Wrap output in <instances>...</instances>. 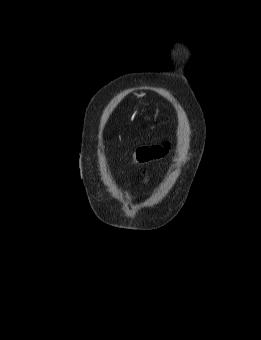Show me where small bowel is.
<instances>
[{
  "mask_svg": "<svg viewBox=\"0 0 261 340\" xmlns=\"http://www.w3.org/2000/svg\"><path fill=\"white\" fill-rule=\"evenodd\" d=\"M169 149L170 144L168 142H164L163 144L159 145L138 147L130 154L129 163L135 166H141L148 162L164 157L169 152ZM145 178L146 175H144V180Z\"/></svg>",
  "mask_w": 261,
  "mask_h": 340,
  "instance_id": "c3829d8e",
  "label": "small bowel"
}]
</instances>
